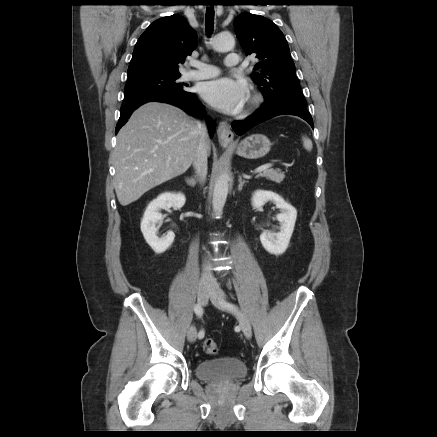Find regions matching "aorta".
<instances>
[{"label":"aorta","mask_w":437,"mask_h":437,"mask_svg":"<svg viewBox=\"0 0 437 437\" xmlns=\"http://www.w3.org/2000/svg\"><path fill=\"white\" fill-rule=\"evenodd\" d=\"M214 50L218 52L230 51L235 46V39L229 32L217 34L212 41ZM229 189V175L226 172L220 174L215 182L212 208L216 214H220L224 208Z\"/></svg>","instance_id":"aorta-1"}]
</instances>
